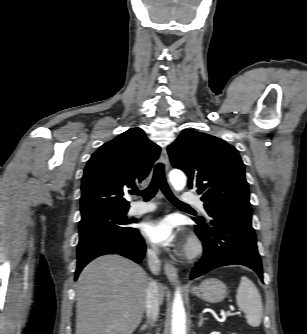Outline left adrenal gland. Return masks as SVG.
Wrapping results in <instances>:
<instances>
[{"instance_id": "1", "label": "left adrenal gland", "mask_w": 307, "mask_h": 334, "mask_svg": "<svg viewBox=\"0 0 307 334\" xmlns=\"http://www.w3.org/2000/svg\"><path fill=\"white\" fill-rule=\"evenodd\" d=\"M199 323H198V327H201L203 325V322L205 320H207V318H204L202 314L199 315Z\"/></svg>"}]
</instances>
